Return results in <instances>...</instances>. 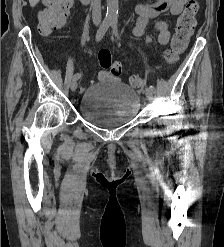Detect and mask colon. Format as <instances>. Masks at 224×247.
Listing matches in <instances>:
<instances>
[{"instance_id": "1", "label": "colon", "mask_w": 224, "mask_h": 247, "mask_svg": "<svg viewBox=\"0 0 224 247\" xmlns=\"http://www.w3.org/2000/svg\"><path fill=\"white\" fill-rule=\"evenodd\" d=\"M44 4L45 8L38 15V27L42 34L48 35L63 25L72 7L73 0H44ZM198 11V1L189 0L183 13L177 20L171 44L165 52L164 57L167 63L175 62L179 55L187 48L196 27ZM98 62L103 69L109 70L113 76H119L122 72L121 63L113 61L108 49H101L99 51ZM130 82L132 86L140 87L143 84V78L140 75H133L130 78Z\"/></svg>"}]
</instances>
